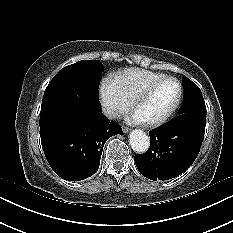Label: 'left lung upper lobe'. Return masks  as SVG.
Returning <instances> with one entry per match:
<instances>
[{
  "instance_id": "5c2ea615",
  "label": "left lung upper lobe",
  "mask_w": 233,
  "mask_h": 233,
  "mask_svg": "<svg viewBox=\"0 0 233 233\" xmlns=\"http://www.w3.org/2000/svg\"><path fill=\"white\" fill-rule=\"evenodd\" d=\"M184 99L179 109L181 114L206 115V106L201 90L187 77H183Z\"/></svg>"
}]
</instances>
